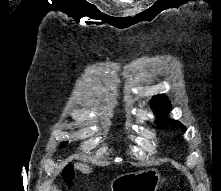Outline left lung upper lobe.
Listing matches in <instances>:
<instances>
[{
	"mask_svg": "<svg viewBox=\"0 0 221 191\" xmlns=\"http://www.w3.org/2000/svg\"><path fill=\"white\" fill-rule=\"evenodd\" d=\"M151 108L157 117L156 122L160 127H168L169 125L180 124L176 120L167 119L171 110V103L165 95H157L151 100ZM180 127L185 131V127L180 124Z\"/></svg>",
	"mask_w": 221,
	"mask_h": 191,
	"instance_id": "obj_1",
	"label": "left lung upper lobe"
}]
</instances>
